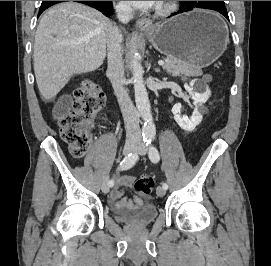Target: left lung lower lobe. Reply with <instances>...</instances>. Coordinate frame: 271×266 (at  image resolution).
I'll return each instance as SVG.
<instances>
[{
	"label": "left lung lower lobe",
	"instance_id": "0a47b994",
	"mask_svg": "<svg viewBox=\"0 0 271 266\" xmlns=\"http://www.w3.org/2000/svg\"><path fill=\"white\" fill-rule=\"evenodd\" d=\"M190 10H193V8L181 7L180 10H179L178 12L173 13L171 16H174V15H176V14L182 13V12H184V11H190ZM220 13H221L224 17H226L227 19H229L227 10H226V11H223V12H220Z\"/></svg>",
	"mask_w": 271,
	"mask_h": 266
}]
</instances>
